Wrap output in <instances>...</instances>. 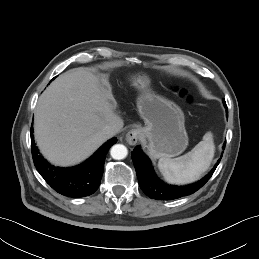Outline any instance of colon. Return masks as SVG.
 I'll return each mask as SVG.
<instances>
[{
    "mask_svg": "<svg viewBox=\"0 0 259 259\" xmlns=\"http://www.w3.org/2000/svg\"><path fill=\"white\" fill-rule=\"evenodd\" d=\"M180 95L184 99H186L188 102H193V97L184 89L180 90Z\"/></svg>",
    "mask_w": 259,
    "mask_h": 259,
    "instance_id": "1",
    "label": "colon"
}]
</instances>
